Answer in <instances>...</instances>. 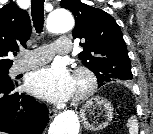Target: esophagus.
Instances as JSON below:
<instances>
[{
	"label": "esophagus",
	"mask_w": 153,
	"mask_h": 134,
	"mask_svg": "<svg viewBox=\"0 0 153 134\" xmlns=\"http://www.w3.org/2000/svg\"><path fill=\"white\" fill-rule=\"evenodd\" d=\"M56 115V110H50L49 111V116L52 118Z\"/></svg>",
	"instance_id": "1"
}]
</instances>
